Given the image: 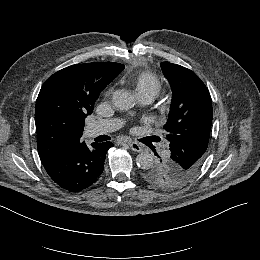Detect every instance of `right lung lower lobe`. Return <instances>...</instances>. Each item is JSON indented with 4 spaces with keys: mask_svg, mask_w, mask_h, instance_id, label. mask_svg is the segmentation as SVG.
Listing matches in <instances>:
<instances>
[{
    "mask_svg": "<svg viewBox=\"0 0 260 260\" xmlns=\"http://www.w3.org/2000/svg\"><path fill=\"white\" fill-rule=\"evenodd\" d=\"M111 142H80L70 148L55 162L45 167L51 179L61 188L78 192L93 185L104 169L107 150Z\"/></svg>",
    "mask_w": 260,
    "mask_h": 260,
    "instance_id": "right-lung-lower-lobe-1",
    "label": "right lung lower lobe"
}]
</instances>
